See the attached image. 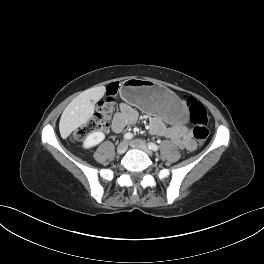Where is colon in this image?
<instances>
[{
  "label": "colon",
  "mask_w": 264,
  "mask_h": 264,
  "mask_svg": "<svg viewBox=\"0 0 264 264\" xmlns=\"http://www.w3.org/2000/svg\"><path fill=\"white\" fill-rule=\"evenodd\" d=\"M117 90L118 86L116 83H112L107 87L106 98L97 104L96 112L89 121L74 132L72 136L73 140L79 141L88 134L102 130L108 126L109 120L115 111L114 95L117 93ZM187 105L190 120L194 125L193 135L198 142L203 143L209 135L207 110L195 98H189Z\"/></svg>",
  "instance_id": "1"
}]
</instances>
